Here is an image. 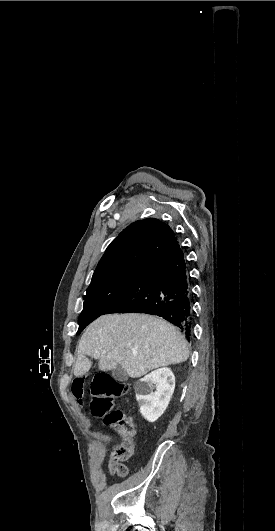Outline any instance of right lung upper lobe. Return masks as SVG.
<instances>
[{
	"mask_svg": "<svg viewBox=\"0 0 275 531\" xmlns=\"http://www.w3.org/2000/svg\"><path fill=\"white\" fill-rule=\"evenodd\" d=\"M174 237L172 229L158 219L147 218L132 223L107 247L92 281L117 270L147 265Z\"/></svg>",
	"mask_w": 275,
	"mask_h": 531,
	"instance_id": "right-lung-upper-lobe-1",
	"label": "right lung upper lobe"
}]
</instances>
